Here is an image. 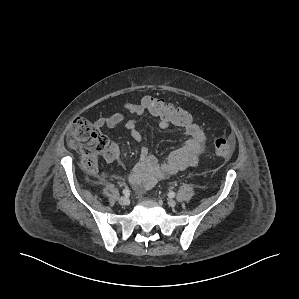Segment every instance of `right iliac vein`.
<instances>
[{"mask_svg":"<svg viewBox=\"0 0 299 299\" xmlns=\"http://www.w3.org/2000/svg\"><path fill=\"white\" fill-rule=\"evenodd\" d=\"M118 201L121 205H124V206L128 205L130 202L129 198L126 196L120 197Z\"/></svg>","mask_w":299,"mask_h":299,"instance_id":"63e3f726","label":"right iliac vein"}]
</instances>
